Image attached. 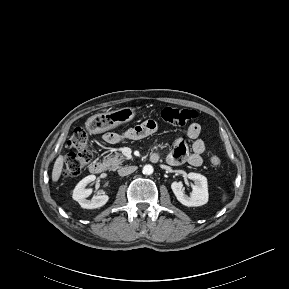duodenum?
Here are the masks:
<instances>
[{
    "mask_svg": "<svg viewBox=\"0 0 289 289\" xmlns=\"http://www.w3.org/2000/svg\"><path fill=\"white\" fill-rule=\"evenodd\" d=\"M159 158L160 157L157 153H152L149 157L150 161L153 163L158 162ZM89 169L92 174H101L105 171V165L101 161H94L91 163Z\"/></svg>",
    "mask_w": 289,
    "mask_h": 289,
    "instance_id": "410a0bca",
    "label": "duodenum"
}]
</instances>
